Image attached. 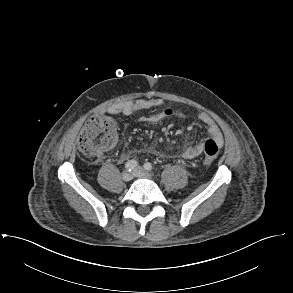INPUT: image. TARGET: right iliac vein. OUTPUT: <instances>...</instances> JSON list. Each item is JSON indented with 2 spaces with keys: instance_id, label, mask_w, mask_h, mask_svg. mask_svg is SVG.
<instances>
[{
  "instance_id": "63e3f726",
  "label": "right iliac vein",
  "mask_w": 293,
  "mask_h": 293,
  "mask_svg": "<svg viewBox=\"0 0 293 293\" xmlns=\"http://www.w3.org/2000/svg\"><path fill=\"white\" fill-rule=\"evenodd\" d=\"M133 178V173L130 172V171H125L123 174H122V179L125 181V182H129L131 181Z\"/></svg>"
}]
</instances>
